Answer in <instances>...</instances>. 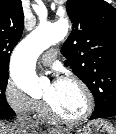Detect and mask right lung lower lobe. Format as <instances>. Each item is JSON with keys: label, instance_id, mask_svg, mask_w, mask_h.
<instances>
[{"label": "right lung lower lobe", "instance_id": "98d812e1", "mask_svg": "<svg viewBox=\"0 0 116 134\" xmlns=\"http://www.w3.org/2000/svg\"><path fill=\"white\" fill-rule=\"evenodd\" d=\"M14 115H15V112L13 111V112H11L10 114L4 115V117H0V118H2V119H4V118H9V117H12V116H14Z\"/></svg>", "mask_w": 116, "mask_h": 134}]
</instances>
